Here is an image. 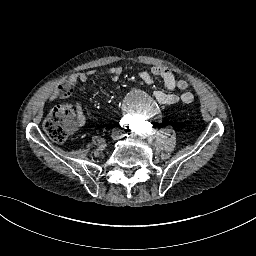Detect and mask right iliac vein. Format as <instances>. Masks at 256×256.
<instances>
[{"mask_svg": "<svg viewBox=\"0 0 256 256\" xmlns=\"http://www.w3.org/2000/svg\"><path fill=\"white\" fill-rule=\"evenodd\" d=\"M111 138L112 139H117L119 137V134L116 132V131H113L111 134H110Z\"/></svg>", "mask_w": 256, "mask_h": 256, "instance_id": "1", "label": "right iliac vein"}]
</instances>
